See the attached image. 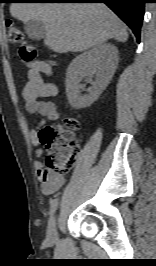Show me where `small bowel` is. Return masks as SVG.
I'll return each instance as SVG.
<instances>
[{
	"label": "small bowel",
	"instance_id": "small-bowel-1",
	"mask_svg": "<svg viewBox=\"0 0 156 266\" xmlns=\"http://www.w3.org/2000/svg\"><path fill=\"white\" fill-rule=\"evenodd\" d=\"M29 67L28 81L24 87L23 95L26 101V110L39 117L29 135L31 143L37 147L40 144V132L46 121L57 120L60 114L54 102L41 100V98L55 96L57 93V88L44 82L42 78V73H49L50 67L43 62L32 63ZM35 155L40 157L42 150L37 148ZM35 169L41 184V190L45 195H52L63 186L64 177L46 170L40 160L35 162Z\"/></svg>",
	"mask_w": 156,
	"mask_h": 266
}]
</instances>
